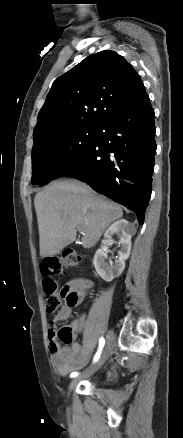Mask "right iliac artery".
<instances>
[{
	"instance_id": "right-iliac-artery-1",
	"label": "right iliac artery",
	"mask_w": 183,
	"mask_h": 438,
	"mask_svg": "<svg viewBox=\"0 0 183 438\" xmlns=\"http://www.w3.org/2000/svg\"><path fill=\"white\" fill-rule=\"evenodd\" d=\"M104 345H105V339L103 337H101L100 340H99L98 351L96 352V354H95V356L93 358V363H96L98 361V359L100 358V355H101V352H102V349H103ZM78 374H79L78 372H72L70 374V377L71 378L77 377Z\"/></svg>"
}]
</instances>
